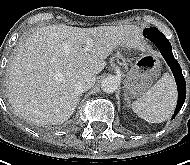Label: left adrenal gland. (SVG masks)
Segmentation results:
<instances>
[{"mask_svg": "<svg viewBox=\"0 0 190 165\" xmlns=\"http://www.w3.org/2000/svg\"><path fill=\"white\" fill-rule=\"evenodd\" d=\"M124 96H125V100L127 101V103H128V104H130L129 97L127 96V94H126V93L124 94Z\"/></svg>", "mask_w": 190, "mask_h": 165, "instance_id": "a2214340", "label": "left adrenal gland"}]
</instances>
